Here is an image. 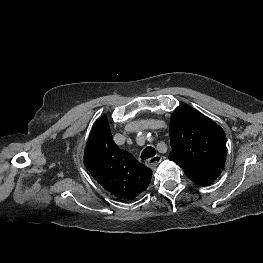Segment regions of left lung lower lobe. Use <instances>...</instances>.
I'll list each match as a JSON object with an SVG mask.
<instances>
[{
    "label": "left lung lower lobe",
    "mask_w": 263,
    "mask_h": 263,
    "mask_svg": "<svg viewBox=\"0 0 263 263\" xmlns=\"http://www.w3.org/2000/svg\"><path fill=\"white\" fill-rule=\"evenodd\" d=\"M193 182L201 186H207L214 182V180L218 177L215 175L209 174H188L187 175Z\"/></svg>",
    "instance_id": "1"
}]
</instances>
